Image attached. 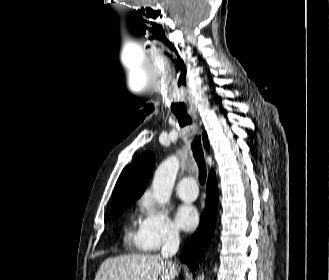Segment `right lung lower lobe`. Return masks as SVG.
Returning a JSON list of instances; mask_svg holds the SVG:
<instances>
[{
	"instance_id": "1",
	"label": "right lung lower lobe",
	"mask_w": 329,
	"mask_h": 280,
	"mask_svg": "<svg viewBox=\"0 0 329 280\" xmlns=\"http://www.w3.org/2000/svg\"><path fill=\"white\" fill-rule=\"evenodd\" d=\"M218 206V187L215 174L209 175L206 190V207L201 216L197 232L183 246L180 259L186 263L192 272L207 249L214 234Z\"/></svg>"
}]
</instances>
